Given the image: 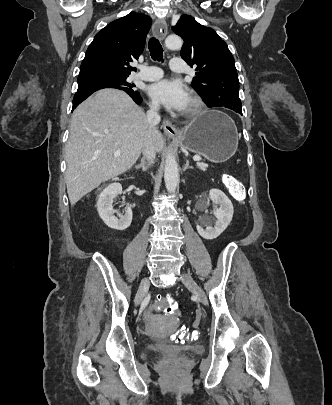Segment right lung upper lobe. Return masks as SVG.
Wrapping results in <instances>:
<instances>
[{"label": "right lung upper lobe", "instance_id": "obj_1", "mask_svg": "<svg viewBox=\"0 0 332 405\" xmlns=\"http://www.w3.org/2000/svg\"><path fill=\"white\" fill-rule=\"evenodd\" d=\"M151 18L129 13L109 23L99 31L89 45L79 75L117 73L130 75L136 68L130 65L144 50Z\"/></svg>", "mask_w": 332, "mask_h": 405}]
</instances>
